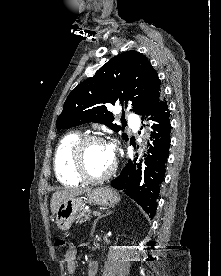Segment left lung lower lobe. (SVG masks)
<instances>
[{"mask_svg":"<svg viewBox=\"0 0 221 276\" xmlns=\"http://www.w3.org/2000/svg\"><path fill=\"white\" fill-rule=\"evenodd\" d=\"M148 115L153 121L152 144L143 167L138 166L136 170V159L135 163L128 161L120 175L111 181V186L134 199L153 219L170 147V114L165 98L162 97Z\"/></svg>","mask_w":221,"mask_h":276,"instance_id":"obj_1","label":"left lung lower lobe"}]
</instances>
